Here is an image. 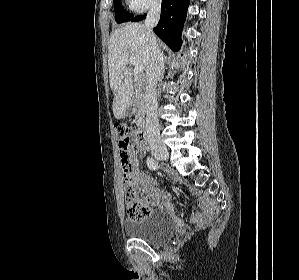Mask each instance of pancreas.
Returning a JSON list of instances; mask_svg holds the SVG:
<instances>
[{
	"label": "pancreas",
	"instance_id": "obj_1",
	"mask_svg": "<svg viewBox=\"0 0 299 280\" xmlns=\"http://www.w3.org/2000/svg\"><path fill=\"white\" fill-rule=\"evenodd\" d=\"M134 111L136 113L135 122L137 126H141L144 121V98L141 94H135L132 99Z\"/></svg>",
	"mask_w": 299,
	"mask_h": 280
}]
</instances>
